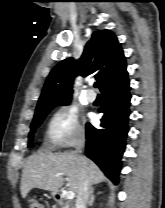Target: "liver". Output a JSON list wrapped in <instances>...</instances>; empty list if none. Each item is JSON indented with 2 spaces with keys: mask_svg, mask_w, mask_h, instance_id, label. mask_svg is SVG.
Returning a JSON list of instances; mask_svg holds the SVG:
<instances>
[{
  "mask_svg": "<svg viewBox=\"0 0 165 208\" xmlns=\"http://www.w3.org/2000/svg\"><path fill=\"white\" fill-rule=\"evenodd\" d=\"M85 168L90 185H96L105 179L99 167L87 157L78 160L74 153H52L39 151L30 156L22 171L20 191L26 198L33 188L57 193L64 184L63 176L69 180V188L76 196L81 185V168ZM60 174V177H55Z\"/></svg>",
  "mask_w": 165,
  "mask_h": 208,
  "instance_id": "liver-1",
  "label": "liver"
}]
</instances>
